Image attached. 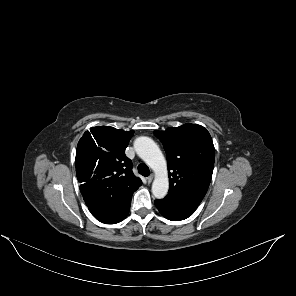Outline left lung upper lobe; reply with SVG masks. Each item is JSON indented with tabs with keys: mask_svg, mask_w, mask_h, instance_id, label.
Instances as JSON below:
<instances>
[{
	"mask_svg": "<svg viewBox=\"0 0 296 296\" xmlns=\"http://www.w3.org/2000/svg\"><path fill=\"white\" fill-rule=\"evenodd\" d=\"M154 134L164 145L168 163L169 193L161 200L198 207L214 167L215 149L209 132L201 125L185 124Z\"/></svg>",
	"mask_w": 296,
	"mask_h": 296,
	"instance_id": "1",
	"label": "left lung upper lobe"
}]
</instances>
